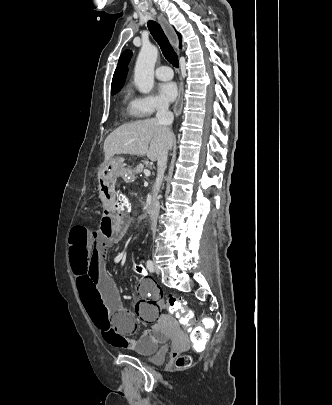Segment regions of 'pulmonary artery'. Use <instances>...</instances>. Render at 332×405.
Here are the masks:
<instances>
[{
    "label": "pulmonary artery",
    "mask_w": 332,
    "mask_h": 405,
    "mask_svg": "<svg viewBox=\"0 0 332 405\" xmlns=\"http://www.w3.org/2000/svg\"><path fill=\"white\" fill-rule=\"evenodd\" d=\"M155 75L160 80H170L173 77V71L168 66H159L155 70Z\"/></svg>",
    "instance_id": "pulmonary-artery-1"
}]
</instances>
